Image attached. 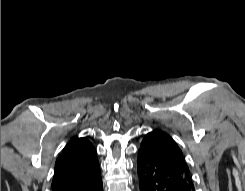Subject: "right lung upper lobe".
<instances>
[{
    "label": "right lung upper lobe",
    "mask_w": 245,
    "mask_h": 191,
    "mask_svg": "<svg viewBox=\"0 0 245 191\" xmlns=\"http://www.w3.org/2000/svg\"><path fill=\"white\" fill-rule=\"evenodd\" d=\"M97 167L93 145L86 138H73L56 160L52 191L92 173Z\"/></svg>",
    "instance_id": "right-lung-upper-lobe-1"
}]
</instances>
